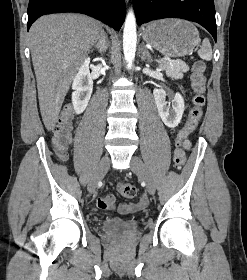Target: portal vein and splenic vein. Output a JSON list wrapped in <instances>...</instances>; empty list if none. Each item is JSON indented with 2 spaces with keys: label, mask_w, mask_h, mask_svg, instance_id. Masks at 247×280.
Returning a JSON list of instances; mask_svg holds the SVG:
<instances>
[{
  "label": "portal vein and splenic vein",
  "mask_w": 247,
  "mask_h": 280,
  "mask_svg": "<svg viewBox=\"0 0 247 280\" xmlns=\"http://www.w3.org/2000/svg\"><path fill=\"white\" fill-rule=\"evenodd\" d=\"M169 60V58H164V59H161V61H167Z\"/></svg>",
  "instance_id": "1"
}]
</instances>
